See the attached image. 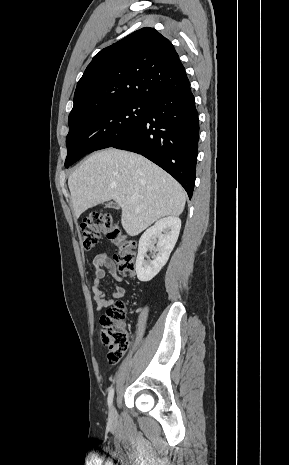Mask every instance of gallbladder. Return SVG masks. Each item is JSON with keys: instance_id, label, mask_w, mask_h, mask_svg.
Instances as JSON below:
<instances>
[{"instance_id": "1", "label": "gallbladder", "mask_w": 289, "mask_h": 465, "mask_svg": "<svg viewBox=\"0 0 289 465\" xmlns=\"http://www.w3.org/2000/svg\"><path fill=\"white\" fill-rule=\"evenodd\" d=\"M106 207H114L116 209H119V205H117L116 203H113V202H109L106 204Z\"/></svg>"}]
</instances>
